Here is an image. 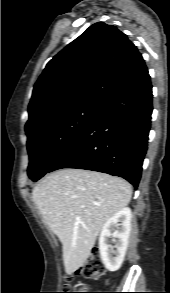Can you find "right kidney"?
I'll return each instance as SVG.
<instances>
[{"label":"right kidney","mask_w":170,"mask_h":293,"mask_svg":"<svg viewBox=\"0 0 170 293\" xmlns=\"http://www.w3.org/2000/svg\"><path fill=\"white\" fill-rule=\"evenodd\" d=\"M131 209L124 207L111 216L102 227L99 236V251L107 270L117 271L124 260L131 231ZM109 238H113L114 246Z\"/></svg>","instance_id":"ca27d5eb"}]
</instances>
